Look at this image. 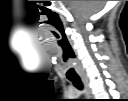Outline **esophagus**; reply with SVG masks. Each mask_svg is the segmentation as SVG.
I'll use <instances>...</instances> for the list:
<instances>
[{"mask_svg":"<svg viewBox=\"0 0 128 101\" xmlns=\"http://www.w3.org/2000/svg\"><path fill=\"white\" fill-rule=\"evenodd\" d=\"M82 82L84 84L86 98L91 99L93 97V94L88 85V80L86 78H82Z\"/></svg>","mask_w":128,"mask_h":101,"instance_id":"esophagus-1","label":"esophagus"}]
</instances>
